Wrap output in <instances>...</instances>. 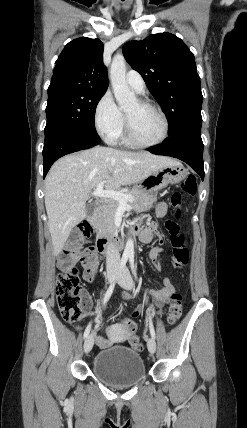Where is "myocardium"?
<instances>
[{"mask_svg": "<svg viewBox=\"0 0 247 428\" xmlns=\"http://www.w3.org/2000/svg\"><path fill=\"white\" fill-rule=\"evenodd\" d=\"M137 102L139 103V105L150 108L158 114V116L160 117L162 124H163V132H162L161 137L156 141H153V142L141 141L134 135V133L131 129V126L128 122V119L125 115L124 119H125L126 137L128 138L129 142L135 146L144 147V148L156 147V146L163 144L167 140V138L169 136V131H170V125H169V121H168L166 114L164 113V111L159 106H157L156 104H154L150 101L139 99V100H137Z\"/></svg>", "mask_w": 247, "mask_h": 428, "instance_id": "1", "label": "myocardium"}]
</instances>
